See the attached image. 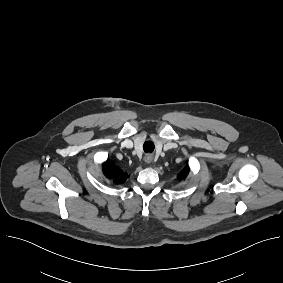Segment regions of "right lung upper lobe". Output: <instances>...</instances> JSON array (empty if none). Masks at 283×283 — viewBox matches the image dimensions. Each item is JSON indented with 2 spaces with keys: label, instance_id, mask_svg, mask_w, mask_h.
<instances>
[{
  "label": "right lung upper lobe",
  "instance_id": "right-lung-upper-lobe-1",
  "mask_svg": "<svg viewBox=\"0 0 283 283\" xmlns=\"http://www.w3.org/2000/svg\"><path fill=\"white\" fill-rule=\"evenodd\" d=\"M103 172L106 177L112 179L116 184H121L128 178V174L123 173V171L111 161H106L103 164Z\"/></svg>",
  "mask_w": 283,
  "mask_h": 283
}]
</instances>
